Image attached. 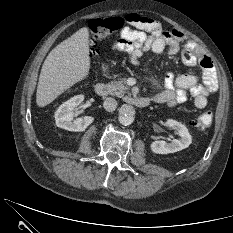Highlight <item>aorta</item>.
<instances>
[{"label":"aorta","mask_w":233,"mask_h":233,"mask_svg":"<svg viewBox=\"0 0 233 233\" xmlns=\"http://www.w3.org/2000/svg\"><path fill=\"white\" fill-rule=\"evenodd\" d=\"M135 109L132 105L124 104L119 109L118 120L122 125H130L134 121Z\"/></svg>","instance_id":"aorta-1"}]
</instances>
